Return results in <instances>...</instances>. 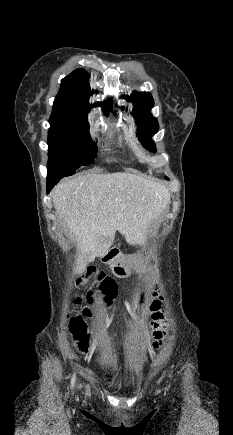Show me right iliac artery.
<instances>
[{"instance_id": "1", "label": "right iliac artery", "mask_w": 233, "mask_h": 435, "mask_svg": "<svg viewBox=\"0 0 233 435\" xmlns=\"http://www.w3.org/2000/svg\"><path fill=\"white\" fill-rule=\"evenodd\" d=\"M74 381H75V375H73L72 380H71L72 387L74 385Z\"/></svg>"}]
</instances>
